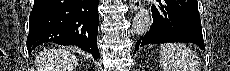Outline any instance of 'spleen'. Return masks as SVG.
<instances>
[{
	"instance_id": "obj_1",
	"label": "spleen",
	"mask_w": 230,
	"mask_h": 71,
	"mask_svg": "<svg viewBox=\"0 0 230 71\" xmlns=\"http://www.w3.org/2000/svg\"><path fill=\"white\" fill-rule=\"evenodd\" d=\"M159 53L163 71H199L195 54L185 44H164Z\"/></svg>"
}]
</instances>
